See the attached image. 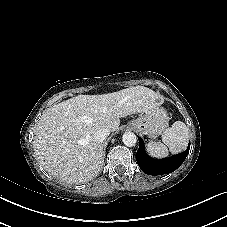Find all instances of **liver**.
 Wrapping results in <instances>:
<instances>
[{"label":"liver","mask_w":227,"mask_h":227,"mask_svg":"<svg viewBox=\"0 0 227 227\" xmlns=\"http://www.w3.org/2000/svg\"><path fill=\"white\" fill-rule=\"evenodd\" d=\"M158 95L143 86L103 95H78L47 109L36 125L33 149L39 164L55 178L71 184L97 176L103 162L102 142L94 133L114 132L120 118L157 107Z\"/></svg>","instance_id":"obj_1"}]
</instances>
